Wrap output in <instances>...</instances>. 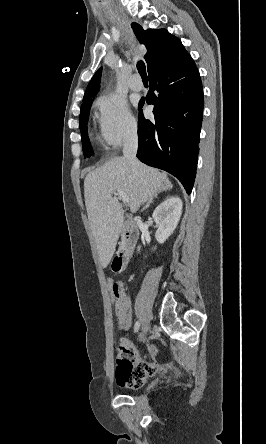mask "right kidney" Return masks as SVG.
I'll return each mask as SVG.
<instances>
[{
	"label": "right kidney",
	"instance_id": "obj_1",
	"mask_svg": "<svg viewBox=\"0 0 266 444\" xmlns=\"http://www.w3.org/2000/svg\"><path fill=\"white\" fill-rule=\"evenodd\" d=\"M182 207V200L175 196L167 198L154 210L152 217L158 226L155 238L160 244L170 237L178 225L182 214ZM139 250L140 247H138Z\"/></svg>",
	"mask_w": 266,
	"mask_h": 444
}]
</instances>
